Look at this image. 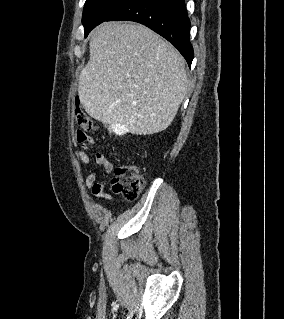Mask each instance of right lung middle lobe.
Instances as JSON below:
<instances>
[{
	"mask_svg": "<svg viewBox=\"0 0 284 319\" xmlns=\"http://www.w3.org/2000/svg\"><path fill=\"white\" fill-rule=\"evenodd\" d=\"M133 0H86L82 23L85 36L100 23L106 21L112 14Z\"/></svg>",
	"mask_w": 284,
	"mask_h": 319,
	"instance_id": "right-lung-middle-lobe-1",
	"label": "right lung middle lobe"
}]
</instances>
